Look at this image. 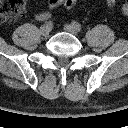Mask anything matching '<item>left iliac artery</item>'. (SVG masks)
<instances>
[{
	"instance_id": "left-iliac-artery-1",
	"label": "left iliac artery",
	"mask_w": 128,
	"mask_h": 128,
	"mask_svg": "<svg viewBox=\"0 0 128 128\" xmlns=\"http://www.w3.org/2000/svg\"><path fill=\"white\" fill-rule=\"evenodd\" d=\"M72 25H73V27L77 30V31H81L82 30V27H81V25L78 23V22H72Z\"/></svg>"
}]
</instances>
